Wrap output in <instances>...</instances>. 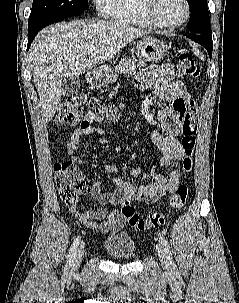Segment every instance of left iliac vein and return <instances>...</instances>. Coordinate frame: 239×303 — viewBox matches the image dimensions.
<instances>
[{"instance_id": "obj_1", "label": "left iliac vein", "mask_w": 239, "mask_h": 303, "mask_svg": "<svg viewBox=\"0 0 239 303\" xmlns=\"http://www.w3.org/2000/svg\"><path fill=\"white\" fill-rule=\"evenodd\" d=\"M157 251H158V257H159L162 267L165 270H169L170 266H169L168 259L165 255V252L163 251V249L160 246H157Z\"/></svg>"}]
</instances>
